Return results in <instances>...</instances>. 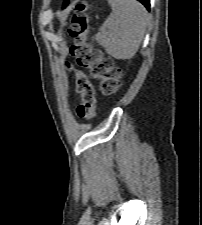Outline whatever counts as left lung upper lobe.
I'll list each match as a JSON object with an SVG mask.
<instances>
[{"instance_id":"obj_1","label":"left lung upper lobe","mask_w":202,"mask_h":225,"mask_svg":"<svg viewBox=\"0 0 202 225\" xmlns=\"http://www.w3.org/2000/svg\"><path fill=\"white\" fill-rule=\"evenodd\" d=\"M68 4V0H65V3H64V5L66 6Z\"/></svg>"}]
</instances>
